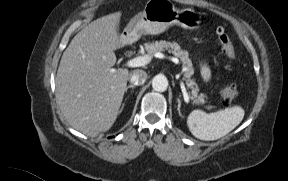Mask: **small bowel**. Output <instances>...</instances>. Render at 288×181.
I'll return each mask as SVG.
<instances>
[{"instance_id": "small-bowel-1", "label": "small bowel", "mask_w": 288, "mask_h": 181, "mask_svg": "<svg viewBox=\"0 0 288 181\" xmlns=\"http://www.w3.org/2000/svg\"><path fill=\"white\" fill-rule=\"evenodd\" d=\"M201 75L204 81H209L211 78V70L206 63L201 64Z\"/></svg>"}]
</instances>
